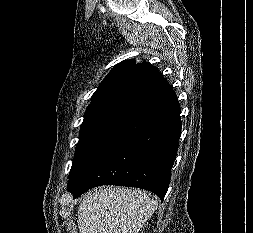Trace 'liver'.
<instances>
[{
	"instance_id": "liver-1",
	"label": "liver",
	"mask_w": 253,
	"mask_h": 233,
	"mask_svg": "<svg viewBox=\"0 0 253 233\" xmlns=\"http://www.w3.org/2000/svg\"><path fill=\"white\" fill-rule=\"evenodd\" d=\"M158 202L139 189L100 187L89 192L78 208L80 233H139L157 210Z\"/></svg>"
}]
</instances>
